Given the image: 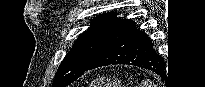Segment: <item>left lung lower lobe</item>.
<instances>
[{"mask_svg": "<svg viewBox=\"0 0 205 87\" xmlns=\"http://www.w3.org/2000/svg\"><path fill=\"white\" fill-rule=\"evenodd\" d=\"M110 64H130L164 76V61L153 50L150 38L131 19L119 24L86 71Z\"/></svg>", "mask_w": 205, "mask_h": 87, "instance_id": "obj_1", "label": "left lung lower lobe"}]
</instances>
